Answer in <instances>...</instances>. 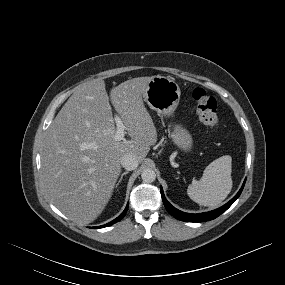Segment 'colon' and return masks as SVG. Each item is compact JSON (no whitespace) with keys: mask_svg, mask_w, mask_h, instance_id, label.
Wrapping results in <instances>:
<instances>
[{"mask_svg":"<svg viewBox=\"0 0 285 285\" xmlns=\"http://www.w3.org/2000/svg\"><path fill=\"white\" fill-rule=\"evenodd\" d=\"M192 99L199 121L211 130H216L220 125L216 99L203 88L194 89Z\"/></svg>","mask_w":285,"mask_h":285,"instance_id":"obj_1","label":"colon"}]
</instances>
